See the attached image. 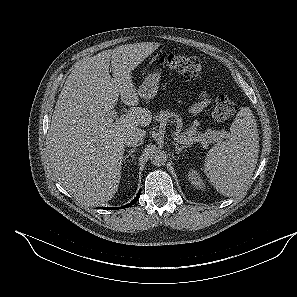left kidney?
Returning a JSON list of instances; mask_svg holds the SVG:
<instances>
[{
  "instance_id": "5707ae66",
  "label": "left kidney",
  "mask_w": 297,
  "mask_h": 297,
  "mask_svg": "<svg viewBox=\"0 0 297 297\" xmlns=\"http://www.w3.org/2000/svg\"><path fill=\"white\" fill-rule=\"evenodd\" d=\"M188 179L196 189H200V190L205 189V184L203 183V180L201 179L197 170L190 169L188 173Z\"/></svg>"
}]
</instances>
